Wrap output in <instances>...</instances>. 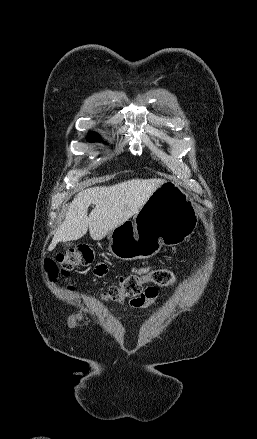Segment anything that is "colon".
<instances>
[{
    "label": "colon",
    "instance_id": "1",
    "mask_svg": "<svg viewBox=\"0 0 257 439\" xmlns=\"http://www.w3.org/2000/svg\"><path fill=\"white\" fill-rule=\"evenodd\" d=\"M95 258L94 250L89 246H81L56 255L54 259L45 261V268L51 279L59 275L67 277L77 266L90 265ZM154 283L160 286H169L175 283V275L167 269L158 268L144 276L133 274L122 277L118 284L110 287L103 294L105 300L122 303L126 298H135L143 294L144 283ZM72 290V286H68Z\"/></svg>",
    "mask_w": 257,
    "mask_h": 439
}]
</instances>
